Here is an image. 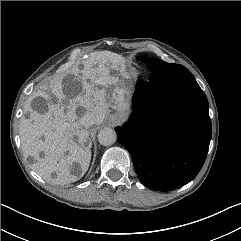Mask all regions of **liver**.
I'll list each match as a JSON object with an SVG mask.
<instances>
[{"label": "liver", "instance_id": "liver-1", "mask_svg": "<svg viewBox=\"0 0 241 241\" xmlns=\"http://www.w3.org/2000/svg\"><path fill=\"white\" fill-rule=\"evenodd\" d=\"M124 62L125 59L119 54L96 52L82 70L75 66L70 70L71 76L64 81L63 78H56L49 88L43 86L34 92L25 108L30 116L21 119L20 139L25 156L35 158L31 168L45 180L65 185L77 181L86 173L91 160L92 142L88 131L79 123L82 110L92 112L95 124L100 125L109 107L122 113L128 109L125 87L117 88L111 94L108 92L119 81L117 76L110 74L111 69L127 76ZM78 85H81L82 92L73 94L72 89L76 91ZM34 98L46 101L43 111L32 108ZM41 152L43 157H40ZM75 163L80 166L76 174L72 172ZM53 173L55 177H52Z\"/></svg>", "mask_w": 241, "mask_h": 241}]
</instances>
